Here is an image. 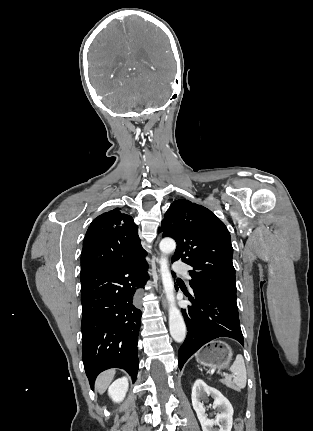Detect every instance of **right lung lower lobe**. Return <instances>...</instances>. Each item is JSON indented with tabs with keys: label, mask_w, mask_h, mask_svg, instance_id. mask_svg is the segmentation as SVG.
<instances>
[{
	"label": "right lung lower lobe",
	"mask_w": 313,
	"mask_h": 431,
	"mask_svg": "<svg viewBox=\"0 0 313 431\" xmlns=\"http://www.w3.org/2000/svg\"><path fill=\"white\" fill-rule=\"evenodd\" d=\"M145 256L80 274L82 359L92 389L109 368L124 369L133 381L137 377L141 311L135 297L148 280Z\"/></svg>",
	"instance_id": "obj_1"
}]
</instances>
